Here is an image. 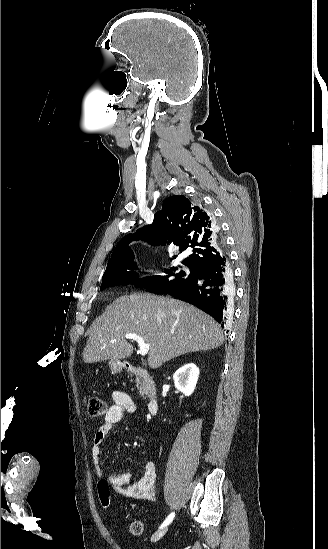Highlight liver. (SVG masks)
Here are the masks:
<instances>
[{"label": "liver", "mask_w": 328, "mask_h": 549, "mask_svg": "<svg viewBox=\"0 0 328 549\" xmlns=\"http://www.w3.org/2000/svg\"><path fill=\"white\" fill-rule=\"evenodd\" d=\"M129 333L148 343L151 369L185 353L217 349L224 341L220 325L193 305L133 293L115 299L92 323L83 351L84 363L127 359L133 353V345L125 339Z\"/></svg>", "instance_id": "liver-1"}]
</instances>
